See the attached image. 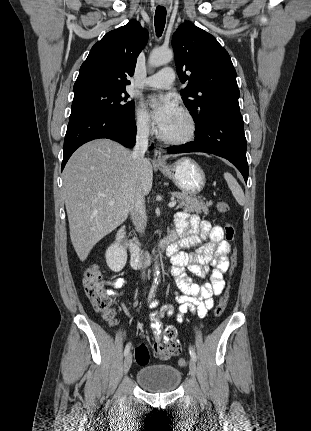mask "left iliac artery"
Instances as JSON below:
<instances>
[{
	"instance_id": "left-iliac-artery-1",
	"label": "left iliac artery",
	"mask_w": 311,
	"mask_h": 431,
	"mask_svg": "<svg viewBox=\"0 0 311 431\" xmlns=\"http://www.w3.org/2000/svg\"><path fill=\"white\" fill-rule=\"evenodd\" d=\"M189 353H190L191 358L194 361H196L197 360V356H196V353H195V351H194V349L192 347L189 348Z\"/></svg>"
}]
</instances>
